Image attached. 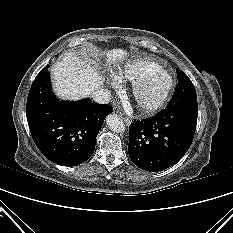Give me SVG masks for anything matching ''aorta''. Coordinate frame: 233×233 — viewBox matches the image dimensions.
Returning <instances> with one entry per match:
<instances>
[{
	"label": "aorta",
	"mask_w": 233,
	"mask_h": 233,
	"mask_svg": "<svg viewBox=\"0 0 233 233\" xmlns=\"http://www.w3.org/2000/svg\"><path fill=\"white\" fill-rule=\"evenodd\" d=\"M106 124L111 131L123 132L125 125L123 120L117 114H110L106 118Z\"/></svg>",
	"instance_id": "aorta-1"
}]
</instances>
